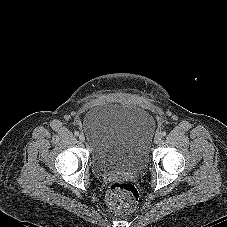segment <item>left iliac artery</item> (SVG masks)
Here are the masks:
<instances>
[{
	"instance_id": "44dca946",
	"label": "left iliac artery",
	"mask_w": 227,
	"mask_h": 227,
	"mask_svg": "<svg viewBox=\"0 0 227 227\" xmlns=\"http://www.w3.org/2000/svg\"><path fill=\"white\" fill-rule=\"evenodd\" d=\"M161 134H162V136H165V135H166V132H165V131H163Z\"/></svg>"
}]
</instances>
